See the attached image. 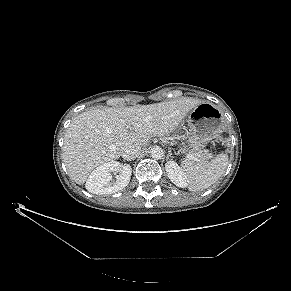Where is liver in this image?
Segmentation results:
<instances>
[{"label": "liver", "mask_w": 291, "mask_h": 291, "mask_svg": "<svg viewBox=\"0 0 291 291\" xmlns=\"http://www.w3.org/2000/svg\"><path fill=\"white\" fill-rule=\"evenodd\" d=\"M200 99L184 97L123 109H91L76 116L64 135L63 160L82 185L97 166L118 159L127 144L146 146L152 137L174 131Z\"/></svg>", "instance_id": "obj_1"}]
</instances>
